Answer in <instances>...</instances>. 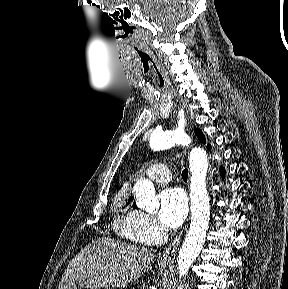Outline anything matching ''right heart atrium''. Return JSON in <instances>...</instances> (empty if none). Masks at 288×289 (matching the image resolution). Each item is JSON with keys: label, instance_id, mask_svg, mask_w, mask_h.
Masks as SVG:
<instances>
[{"label": "right heart atrium", "instance_id": "right-heart-atrium-1", "mask_svg": "<svg viewBox=\"0 0 288 289\" xmlns=\"http://www.w3.org/2000/svg\"><path fill=\"white\" fill-rule=\"evenodd\" d=\"M132 228L139 240L148 244L162 241L166 233L153 216L142 211L136 212Z\"/></svg>", "mask_w": 288, "mask_h": 289}]
</instances>
